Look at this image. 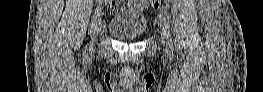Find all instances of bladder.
<instances>
[{"mask_svg":"<svg viewBox=\"0 0 263 92\" xmlns=\"http://www.w3.org/2000/svg\"><path fill=\"white\" fill-rule=\"evenodd\" d=\"M109 32L118 40L132 41L146 31L145 18L138 9H130L112 16L108 22Z\"/></svg>","mask_w":263,"mask_h":92,"instance_id":"bladder-1","label":"bladder"}]
</instances>
